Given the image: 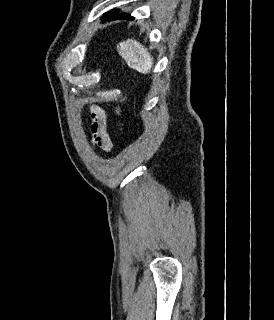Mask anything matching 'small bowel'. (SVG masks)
I'll return each mask as SVG.
<instances>
[{
    "mask_svg": "<svg viewBox=\"0 0 274 320\" xmlns=\"http://www.w3.org/2000/svg\"><path fill=\"white\" fill-rule=\"evenodd\" d=\"M89 132L95 146L105 151L111 150L112 141L106 131V115L104 110L97 105L90 107Z\"/></svg>",
    "mask_w": 274,
    "mask_h": 320,
    "instance_id": "c3829d8e",
    "label": "small bowel"
}]
</instances>
